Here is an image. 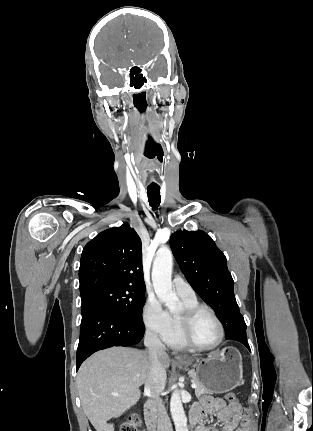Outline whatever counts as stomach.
<instances>
[{"mask_svg":"<svg viewBox=\"0 0 313 431\" xmlns=\"http://www.w3.org/2000/svg\"><path fill=\"white\" fill-rule=\"evenodd\" d=\"M181 363L194 366L192 372L210 393H226L243 382L242 358L233 347L211 353L205 358H188Z\"/></svg>","mask_w":313,"mask_h":431,"instance_id":"0dacf381","label":"stomach"}]
</instances>
